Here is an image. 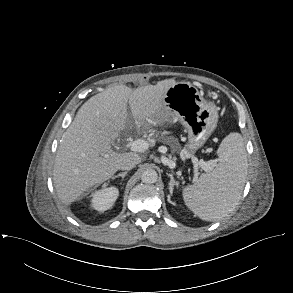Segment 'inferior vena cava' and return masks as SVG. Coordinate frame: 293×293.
I'll use <instances>...</instances> for the list:
<instances>
[{
	"label": "inferior vena cava",
	"mask_w": 293,
	"mask_h": 293,
	"mask_svg": "<svg viewBox=\"0 0 293 293\" xmlns=\"http://www.w3.org/2000/svg\"><path fill=\"white\" fill-rule=\"evenodd\" d=\"M137 163L129 158V157H126L120 164V169L121 170H131L135 167Z\"/></svg>",
	"instance_id": "inferior-vena-cava-1"
}]
</instances>
